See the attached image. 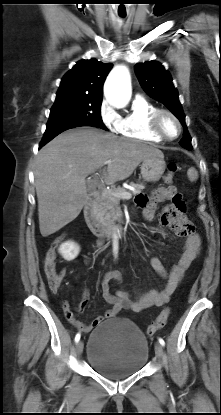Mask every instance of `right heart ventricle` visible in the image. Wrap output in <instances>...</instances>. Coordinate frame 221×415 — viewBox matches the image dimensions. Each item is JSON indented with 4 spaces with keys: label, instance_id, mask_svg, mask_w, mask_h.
<instances>
[{
    "label": "right heart ventricle",
    "instance_id": "right-heart-ventricle-1",
    "mask_svg": "<svg viewBox=\"0 0 221 415\" xmlns=\"http://www.w3.org/2000/svg\"><path fill=\"white\" fill-rule=\"evenodd\" d=\"M156 109L157 107L144 97H135L130 110L120 117L119 134L144 142H162L163 140L156 136L149 126L150 117Z\"/></svg>",
    "mask_w": 221,
    "mask_h": 415
}]
</instances>
